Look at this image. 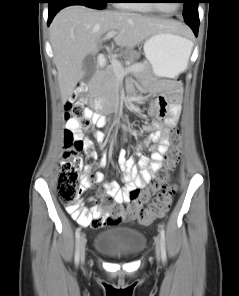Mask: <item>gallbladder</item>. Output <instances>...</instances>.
Here are the masks:
<instances>
[{
	"instance_id": "bac80fb5",
	"label": "gallbladder",
	"mask_w": 239,
	"mask_h": 296,
	"mask_svg": "<svg viewBox=\"0 0 239 296\" xmlns=\"http://www.w3.org/2000/svg\"><path fill=\"white\" fill-rule=\"evenodd\" d=\"M96 57L93 54H89L85 57L83 62L84 77L83 81L88 82L96 71Z\"/></svg>"
}]
</instances>
